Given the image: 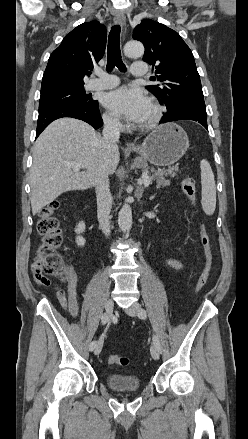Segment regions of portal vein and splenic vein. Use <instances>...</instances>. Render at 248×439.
Wrapping results in <instances>:
<instances>
[{
	"instance_id": "obj_1",
	"label": "portal vein and splenic vein",
	"mask_w": 248,
	"mask_h": 439,
	"mask_svg": "<svg viewBox=\"0 0 248 439\" xmlns=\"http://www.w3.org/2000/svg\"><path fill=\"white\" fill-rule=\"evenodd\" d=\"M67 166L72 167V169L74 170H79L80 168H83L84 165L81 163H76V162H66ZM140 183H143L145 187H148L150 184V179L147 173H143L142 175V180L140 181Z\"/></svg>"
}]
</instances>
